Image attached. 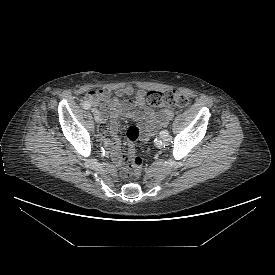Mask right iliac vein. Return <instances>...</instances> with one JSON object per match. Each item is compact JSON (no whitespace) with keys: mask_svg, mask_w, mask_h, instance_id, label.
<instances>
[{"mask_svg":"<svg viewBox=\"0 0 275 275\" xmlns=\"http://www.w3.org/2000/svg\"><path fill=\"white\" fill-rule=\"evenodd\" d=\"M92 113L94 115L95 121L99 122L100 121V112L96 108H92Z\"/></svg>","mask_w":275,"mask_h":275,"instance_id":"1","label":"right iliac vein"}]
</instances>
